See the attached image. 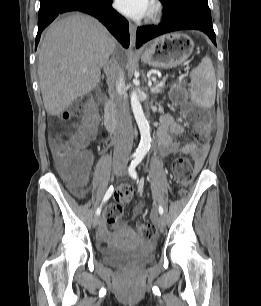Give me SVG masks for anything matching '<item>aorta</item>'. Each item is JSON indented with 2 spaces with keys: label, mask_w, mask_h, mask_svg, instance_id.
<instances>
[{
  "label": "aorta",
  "mask_w": 261,
  "mask_h": 306,
  "mask_svg": "<svg viewBox=\"0 0 261 306\" xmlns=\"http://www.w3.org/2000/svg\"><path fill=\"white\" fill-rule=\"evenodd\" d=\"M130 99H131L132 111L141 135V141L136 151V155L144 156L150 147V142H151L150 128L147 119L145 118V115L143 113V109L141 107L136 91H133L131 93Z\"/></svg>",
  "instance_id": "obj_1"
}]
</instances>
